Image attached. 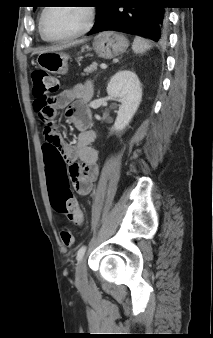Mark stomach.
<instances>
[{
    "label": "stomach",
    "instance_id": "stomach-1",
    "mask_svg": "<svg viewBox=\"0 0 213 338\" xmlns=\"http://www.w3.org/2000/svg\"><path fill=\"white\" fill-rule=\"evenodd\" d=\"M129 46L127 38L116 32L107 31L98 34L93 40V50L104 59H112L123 54ZM68 56L60 51L40 53L37 64L52 74H65L68 70Z\"/></svg>",
    "mask_w": 213,
    "mask_h": 338
}]
</instances>
